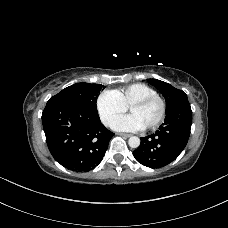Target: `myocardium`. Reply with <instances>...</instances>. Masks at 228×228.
Returning <instances> with one entry per match:
<instances>
[{
	"instance_id": "obj_1",
	"label": "myocardium",
	"mask_w": 228,
	"mask_h": 228,
	"mask_svg": "<svg viewBox=\"0 0 228 228\" xmlns=\"http://www.w3.org/2000/svg\"><path fill=\"white\" fill-rule=\"evenodd\" d=\"M152 102L159 103L160 113H159L158 118L151 125L145 127L147 130H154V129L158 128L161 125V123L163 122V120L165 119V116L167 113V103H166L165 99L163 97L159 96L158 94H156V95L147 96V97L138 99L129 106V110H130L132 107H142V106H146Z\"/></svg>"
}]
</instances>
